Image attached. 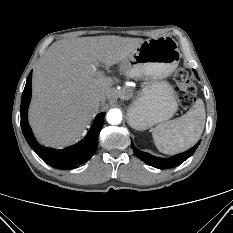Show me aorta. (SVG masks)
Listing matches in <instances>:
<instances>
[{
	"label": "aorta",
	"mask_w": 233,
	"mask_h": 233,
	"mask_svg": "<svg viewBox=\"0 0 233 233\" xmlns=\"http://www.w3.org/2000/svg\"><path fill=\"white\" fill-rule=\"evenodd\" d=\"M122 120V113L119 109H111L107 113V122L112 125L120 124Z\"/></svg>",
	"instance_id": "1"
}]
</instances>
